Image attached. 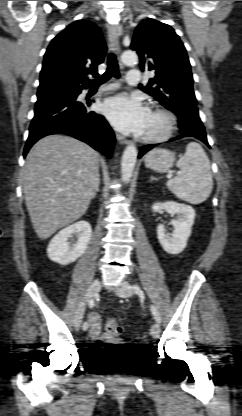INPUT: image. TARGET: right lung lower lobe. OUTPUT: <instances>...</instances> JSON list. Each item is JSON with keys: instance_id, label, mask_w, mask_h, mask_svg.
Instances as JSON below:
<instances>
[{"instance_id": "obj_1", "label": "right lung lower lobe", "mask_w": 242, "mask_h": 416, "mask_svg": "<svg viewBox=\"0 0 242 416\" xmlns=\"http://www.w3.org/2000/svg\"><path fill=\"white\" fill-rule=\"evenodd\" d=\"M81 90L74 94L58 93L38 97L35 115L29 129L23 156L44 136L68 134L110 157L115 142L114 132L103 116L88 111L87 105L77 101Z\"/></svg>"}]
</instances>
